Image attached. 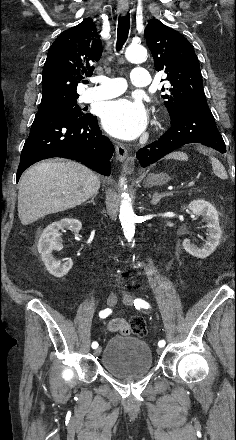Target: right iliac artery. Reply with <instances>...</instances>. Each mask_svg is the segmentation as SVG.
<instances>
[{
	"mask_svg": "<svg viewBox=\"0 0 236 440\" xmlns=\"http://www.w3.org/2000/svg\"><path fill=\"white\" fill-rule=\"evenodd\" d=\"M110 312H111L110 309L102 310V311H100L99 316L101 318H106L110 314ZM97 347H98V343L97 342H93L92 343V348L96 349Z\"/></svg>",
	"mask_w": 236,
	"mask_h": 440,
	"instance_id": "obj_1",
	"label": "right iliac artery"
}]
</instances>
